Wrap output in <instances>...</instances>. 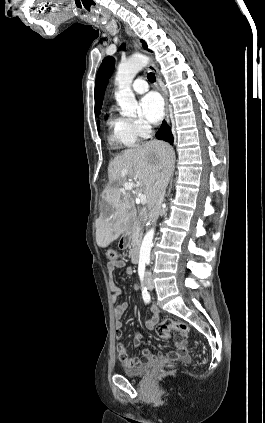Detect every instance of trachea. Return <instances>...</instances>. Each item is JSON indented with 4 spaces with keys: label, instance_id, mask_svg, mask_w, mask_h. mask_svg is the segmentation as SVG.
<instances>
[{
    "label": "trachea",
    "instance_id": "1",
    "mask_svg": "<svg viewBox=\"0 0 265 423\" xmlns=\"http://www.w3.org/2000/svg\"><path fill=\"white\" fill-rule=\"evenodd\" d=\"M147 78L150 82H155L156 80L154 73H148Z\"/></svg>",
    "mask_w": 265,
    "mask_h": 423
}]
</instances>
